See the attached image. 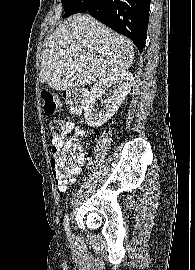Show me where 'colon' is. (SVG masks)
Wrapping results in <instances>:
<instances>
[{
  "label": "colon",
  "mask_w": 195,
  "mask_h": 270,
  "mask_svg": "<svg viewBox=\"0 0 195 270\" xmlns=\"http://www.w3.org/2000/svg\"><path fill=\"white\" fill-rule=\"evenodd\" d=\"M43 111L46 115H54L59 109L58 97L49 92L43 91L41 94ZM70 114L80 117L83 114L87 102V92L76 88L68 90L63 95ZM67 122L63 119L55 118L50 123V129L54 137L64 138L66 136ZM84 154L79 141L70 138L53 151L51 166L57 187L64 191L73 182V176L80 170Z\"/></svg>",
  "instance_id": "colon-1"
}]
</instances>
